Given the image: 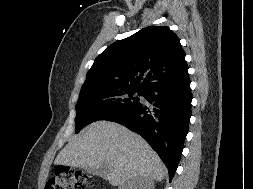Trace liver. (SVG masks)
I'll list each match as a JSON object with an SVG mask.
<instances>
[{"instance_id": "obj_1", "label": "liver", "mask_w": 253, "mask_h": 189, "mask_svg": "<svg viewBox=\"0 0 253 189\" xmlns=\"http://www.w3.org/2000/svg\"><path fill=\"white\" fill-rule=\"evenodd\" d=\"M54 163L100 168L112 186L140 176L162 181L167 174L157 153L142 137L104 120L83 129L61 150Z\"/></svg>"}]
</instances>
